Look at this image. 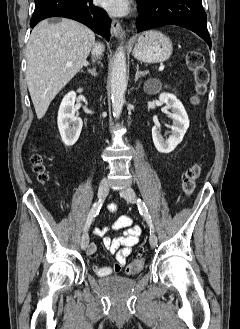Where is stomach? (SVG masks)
<instances>
[{
  "mask_svg": "<svg viewBox=\"0 0 240 329\" xmlns=\"http://www.w3.org/2000/svg\"><path fill=\"white\" fill-rule=\"evenodd\" d=\"M173 48L169 38L159 31H146L139 35L133 56L141 62L158 63L167 60Z\"/></svg>",
  "mask_w": 240,
  "mask_h": 329,
  "instance_id": "0dacf381",
  "label": "stomach"
}]
</instances>
